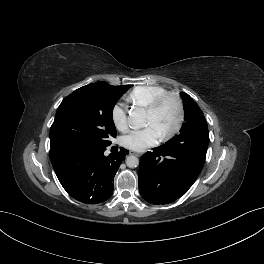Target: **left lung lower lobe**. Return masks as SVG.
<instances>
[{"mask_svg": "<svg viewBox=\"0 0 264 264\" xmlns=\"http://www.w3.org/2000/svg\"><path fill=\"white\" fill-rule=\"evenodd\" d=\"M208 129L176 145H161L140 159L139 191L149 203L175 201L197 179L205 163Z\"/></svg>", "mask_w": 264, "mask_h": 264, "instance_id": "left-lung-lower-lobe-1", "label": "left lung lower lobe"}]
</instances>
